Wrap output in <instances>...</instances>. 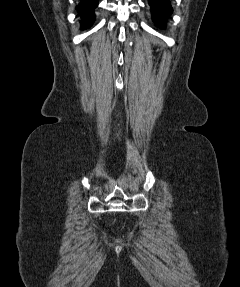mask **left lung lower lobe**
<instances>
[{
    "label": "left lung lower lobe",
    "instance_id": "1",
    "mask_svg": "<svg viewBox=\"0 0 240 287\" xmlns=\"http://www.w3.org/2000/svg\"><path fill=\"white\" fill-rule=\"evenodd\" d=\"M153 20L160 27H164L166 18L172 13L169 0H149Z\"/></svg>",
    "mask_w": 240,
    "mask_h": 287
}]
</instances>
